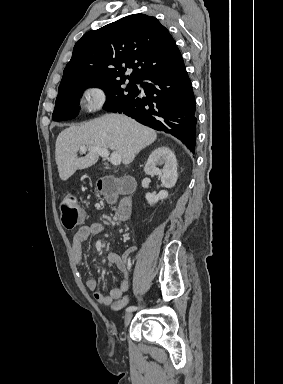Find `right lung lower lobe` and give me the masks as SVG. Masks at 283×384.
Wrapping results in <instances>:
<instances>
[{
	"label": "right lung lower lobe",
	"mask_w": 283,
	"mask_h": 384,
	"mask_svg": "<svg viewBox=\"0 0 283 384\" xmlns=\"http://www.w3.org/2000/svg\"><path fill=\"white\" fill-rule=\"evenodd\" d=\"M146 97L122 101L107 111L123 113L180 139L192 153L196 144V107L185 66L141 83Z\"/></svg>",
	"instance_id": "98d812e1"
}]
</instances>
